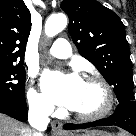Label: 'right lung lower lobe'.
<instances>
[{"instance_id":"obj_1","label":"right lung lower lobe","mask_w":136,"mask_h":136,"mask_svg":"<svg viewBox=\"0 0 136 136\" xmlns=\"http://www.w3.org/2000/svg\"><path fill=\"white\" fill-rule=\"evenodd\" d=\"M0 113L25 122L27 120V104L25 98L19 101H0Z\"/></svg>"}]
</instances>
